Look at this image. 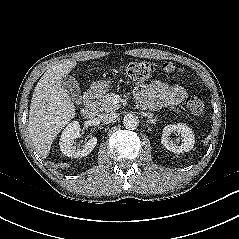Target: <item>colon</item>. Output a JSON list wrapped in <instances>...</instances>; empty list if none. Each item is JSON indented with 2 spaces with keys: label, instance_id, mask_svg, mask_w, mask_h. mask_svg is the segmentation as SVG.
Instances as JSON below:
<instances>
[{
  "label": "colon",
  "instance_id": "1",
  "mask_svg": "<svg viewBox=\"0 0 239 239\" xmlns=\"http://www.w3.org/2000/svg\"><path fill=\"white\" fill-rule=\"evenodd\" d=\"M162 71L166 75L176 76L182 72V69L172 63L157 65L149 61H136L130 63L126 68L128 78L134 83H142L156 72ZM186 107L195 116H201L205 112V102L201 95H190L186 99Z\"/></svg>",
  "mask_w": 239,
  "mask_h": 239
}]
</instances>
